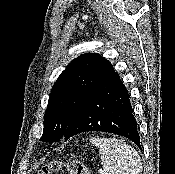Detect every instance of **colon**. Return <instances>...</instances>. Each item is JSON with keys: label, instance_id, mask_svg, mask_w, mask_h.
Here are the masks:
<instances>
[{"label": "colon", "instance_id": "5ec220e1", "mask_svg": "<svg viewBox=\"0 0 175 174\" xmlns=\"http://www.w3.org/2000/svg\"><path fill=\"white\" fill-rule=\"evenodd\" d=\"M66 169L69 174H93L92 170L76 158L67 161L52 160L45 164L40 174H56Z\"/></svg>", "mask_w": 175, "mask_h": 174}]
</instances>
